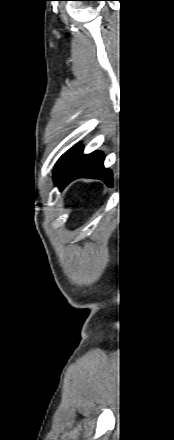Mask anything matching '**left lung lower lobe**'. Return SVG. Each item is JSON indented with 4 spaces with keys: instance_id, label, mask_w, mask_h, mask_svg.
Returning <instances> with one entry per match:
<instances>
[{
    "instance_id": "obj_1",
    "label": "left lung lower lobe",
    "mask_w": 174,
    "mask_h": 440,
    "mask_svg": "<svg viewBox=\"0 0 174 440\" xmlns=\"http://www.w3.org/2000/svg\"><path fill=\"white\" fill-rule=\"evenodd\" d=\"M81 146H77L72 150L69 161L63 172L55 180L60 189L66 187L73 180L86 177L101 179L112 184V173L109 169L104 168V155L101 152H93L83 155Z\"/></svg>"
}]
</instances>
